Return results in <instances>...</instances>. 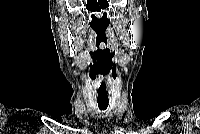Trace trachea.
<instances>
[{"instance_id": "1", "label": "trachea", "mask_w": 200, "mask_h": 134, "mask_svg": "<svg viewBox=\"0 0 200 134\" xmlns=\"http://www.w3.org/2000/svg\"><path fill=\"white\" fill-rule=\"evenodd\" d=\"M98 107L100 110H106L108 107V101H98Z\"/></svg>"}]
</instances>
